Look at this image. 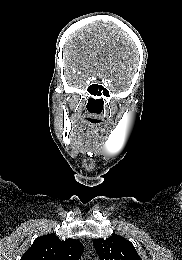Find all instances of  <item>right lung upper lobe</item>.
<instances>
[{
  "mask_svg": "<svg viewBox=\"0 0 182 260\" xmlns=\"http://www.w3.org/2000/svg\"><path fill=\"white\" fill-rule=\"evenodd\" d=\"M83 244L76 239L61 241L56 235L36 238L21 260H79Z\"/></svg>",
  "mask_w": 182,
  "mask_h": 260,
  "instance_id": "cb5924a9",
  "label": "right lung upper lobe"
}]
</instances>
